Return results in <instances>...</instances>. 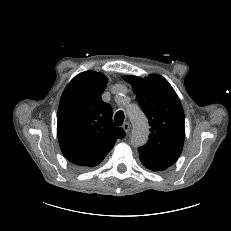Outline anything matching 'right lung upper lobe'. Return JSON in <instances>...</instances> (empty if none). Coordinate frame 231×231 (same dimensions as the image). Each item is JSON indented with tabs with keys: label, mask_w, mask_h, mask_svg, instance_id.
Instances as JSON below:
<instances>
[{
	"label": "right lung upper lobe",
	"mask_w": 231,
	"mask_h": 231,
	"mask_svg": "<svg viewBox=\"0 0 231 231\" xmlns=\"http://www.w3.org/2000/svg\"><path fill=\"white\" fill-rule=\"evenodd\" d=\"M106 85V76L88 70L75 76L61 96L58 141L63 155L75 165H98L125 136L113 124L111 106L101 100Z\"/></svg>",
	"instance_id": "right-lung-upper-lobe-1"
}]
</instances>
